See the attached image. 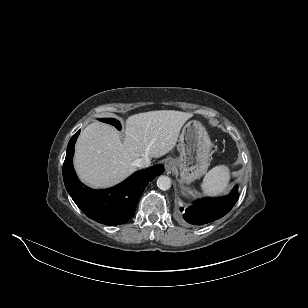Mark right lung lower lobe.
Here are the masks:
<instances>
[{
  "label": "right lung lower lobe",
  "mask_w": 308,
  "mask_h": 308,
  "mask_svg": "<svg viewBox=\"0 0 308 308\" xmlns=\"http://www.w3.org/2000/svg\"><path fill=\"white\" fill-rule=\"evenodd\" d=\"M80 130L72 136L63 165L65 187L76 205L91 219L105 225H121L134 215L145 185L161 174L164 166L155 165L138 171L121 184L107 190H92L78 180L73 168L74 143Z\"/></svg>",
  "instance_id": "right-lung-lower-lobe-1"
}]
</instances>
